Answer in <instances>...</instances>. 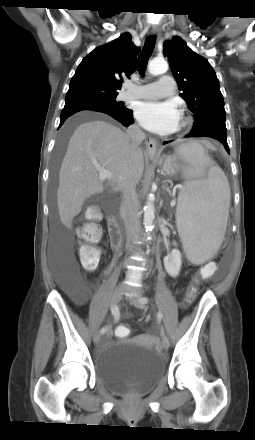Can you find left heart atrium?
Masks as SVG:
<instances>
[{"label":"left heart atrium","instance_id":"39dd6f15","mask_svg":"<svg viewBox=\"0 0 255 440\" xmlns=\"http://www.w3.org/2000/svg\"><path fill=\"white\" fill-rule=\"evenodd\" d=\"M135 116L142 127L157 134H169L180 124V112L172 102L149 101L140 103Z\"/></svg>","mask_w":255,"mask_h":440}]
</instances>
